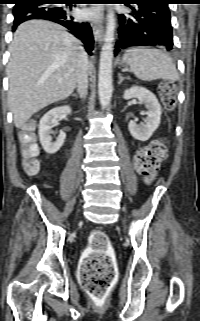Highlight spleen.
<instances>
[{
	"instance_id": "obj_1",
	"label": "spleen",
	"mask_w": 200,
	"mask_h": 321,
	"mask_svg": "<svg viewBox=\"0 0 200 321\" xmlns=\"http://www.w3.org/2000/svg\"><path fill=\"white\" fill-rule=\"evenodd\" d=\"M123 62L128 64L134 75L142 81L178 79V72L172 59L159 49L131 48L124 54Z\"/></svg>"
}]
</instances>
